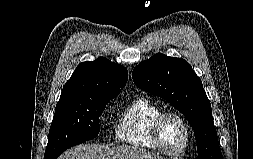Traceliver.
I'll return each instance as SVG.
<instances>
[{
  "label": "liver",
  "instance_id": "obj_1",
  "mask_svg": "<svg viewBox=\"0 0 253 159\" xmlns=\"http://www.w3.org/2000/svg\"><path fill=\"white\" fill-rule=\"evenodd\" d=\"M58 159H165L142 148L81 144L65 151Z\"/></svg>",
  "mask_w": 253,
  "mask_h": 159
}]
</instances>
